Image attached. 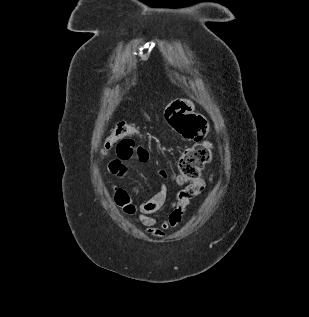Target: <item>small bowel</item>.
Here are the masks:
<instances>
[{
  "instance_id": "obj_1",
  "label": "small bowel",
  "mask_w": 309,
  "mask_h": 317,
  "mask_svg": "<svg viewBox=\"0 0 309 317\" xmlns=\"http://www.w3.org/2000/svg\"><path fill=\"white\" fill-rule=\"evenodd\" d=\"M131 143L126 142L125 147L117 151V157L112 159L107 170L109 174L117 178H124L128 171V161L133 157ZM137 158L146 162L149 159L148 152L137 155ZM155 178L159 182V189L147 200L141 203L135 202L130 193L123 187L113 185L112 196L115 204L127 215L135 225H140L145 232L155 238H163L167 232L176 228L182 221L186 208L205 190L207 182L203 178L192 181L189 186L172 195L171 209L163 220L158 221L155 217L168 198V189L165 181L167 173L159 168L155 172ZM216 175L212 174L209 183L214 184Z\"/></svg>"
}]
</instances>
